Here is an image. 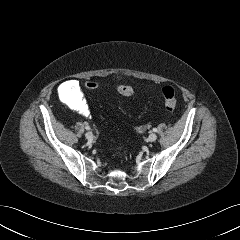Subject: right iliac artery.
Masks as SVG:
<instances>
[{"label": "right iliac artery", "mask_w": 240, "mask_h": 240, "mask_svg": "<svg viewBox=\"0 0 240 240\" xmlns=\"http://www.w3.org/2000/svg\"><path fill=\"white\" fill-rule=\"evenodd\" d=\"M85 129H86V130H90V127L87 125V126L85 127Z\"/></svg>", "instance_id": "82829eb1"}]
</instances>
